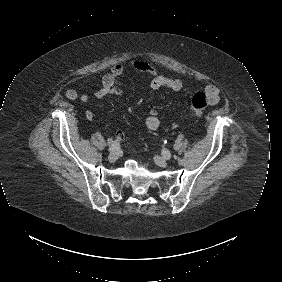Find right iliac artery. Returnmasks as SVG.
<instances>
[{"label": "right iliac artery", "mask_w": 282, "mask_h": 282, "mask_svg": "<svg viewBox=\"0 0 282 282\" xmlns=\"http://www.w3.org/2000/svg\"><path fill=\"white\" fill-rule=\"evenodd\" d=\"M120 147V143H119V140H111L109 142V152H114V151H117Z\"/></svg>", "instance_id": "obj_1"}]
</instances>
